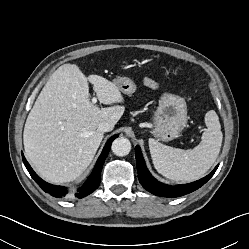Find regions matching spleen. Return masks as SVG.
Listing matches in <instances>:
<instances>
[{"label": "spleen", "instance_id": "spleen-1", "mask_svg": "<svg viewBox=\"0 0 249 249\" xmlns=\"http://www.w3.org/2000/svg\"><path fill=\"white\" fill-rule=\"evenodd\" d=\"M207 129L201 142L193 149L183 150L149 139L155 169L171 180L191 182L205 175L215 163L223 140L219 118L214 110L205 115Z\"/></svg>", "mask_w": 249, "mask_h": 249}]
</instances>
